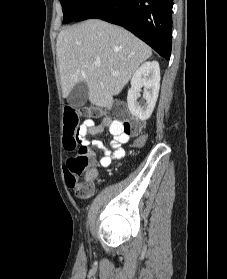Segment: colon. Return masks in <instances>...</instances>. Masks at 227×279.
I'll return each instance as SVG.
<instances>
[{"mask_svg": "<svg viewBox=\"0 0 227 279\" xmlns=\"http://www.w3.org/2000/svg\"><path fill=\"white\" fill-rule=\"evenodd\" d=\"M114 122L119 124L127 133L140 134L138 143L144 140L142 133V125L140 120H129V110L124 103H117L114 107ZM98 110L94 107L75 108L67 107L65 110V121L63 128V138L67 150L72 151L77 145L79 149L71 155L66 163L65 169L68 172L69 182L76 195L83 198L90 194L95 185L92 181L83 178L85 169L91 165V155L86 147V120L83 118H96ZM117 127V125H114Z\"/></svg>", "mask_w": 227, "mask_h": 279, "instance_id": "obj_1", "label": "colon"}]
</instances>
